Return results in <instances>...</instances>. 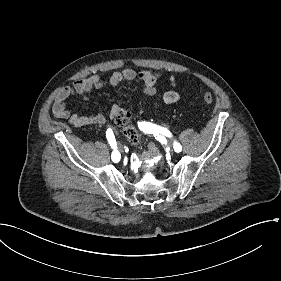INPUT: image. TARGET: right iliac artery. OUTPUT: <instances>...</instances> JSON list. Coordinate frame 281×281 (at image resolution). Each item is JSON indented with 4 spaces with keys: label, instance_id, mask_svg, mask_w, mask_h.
I'll list each match as a JSON object with an SVG mask.
<instances>
[{
    "label": "right iliac artery",
    "instance_id": "right-iliac-artery-1",
    "mask_svg": "<svg viewBox=\"0 0 281 281\" xmlns=\"http://www.w3.org/2000/svg\"><path fill=\"white\" fill-rule=\"evenodd\" d=\"M106 136L110 146L114 149L111 155L112 160L113 162H118L120 160V153L116 150V140L111 129L106 131Z\"/></svg>",
    "mask_w": 281,
    "mask_h": 281
}]
</instances>
